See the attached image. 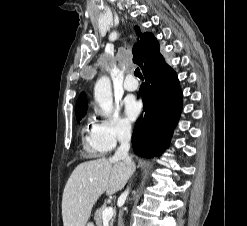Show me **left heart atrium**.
<instances>
[{"mask_svg":"<svg viewBox=\"0 0 247 226\" xmlns=\"http://www.w3.org/2000/svg\"><path fill=\"white\" fill-rule=\"evenodd\" d=\"M140 112L138 103L134 100H127L125 102V114L131 121L135 120Z\"/></svg>","mask_w":247,"mask_h":226,"instance_id":"39dd6f15","label":"left heart atrium"}]
</instances>
